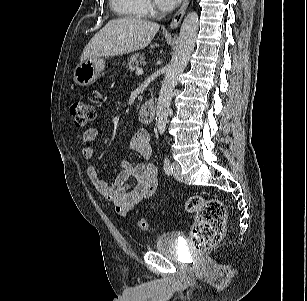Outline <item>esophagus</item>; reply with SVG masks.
Wrapping results in <instances>:
<instances>
[{
	"label": "esophagus",
	"instance_id": "34e87169",
	"mask_svg": "<svg viewBox=\"0 0 307 301\" xmlns=\"http://www.w3.org/2000/svg\"><path fill=\"white\" fill-rule=\"evenodd\" d=\"M190 0H184L179 10L175 13L174 17L172 18V21L170 23V28L175 29L179 26L185 11L189 5Z\"/></svg>",
	"mask_w": 307,
	"mask_h": 301
}]
</instances>
